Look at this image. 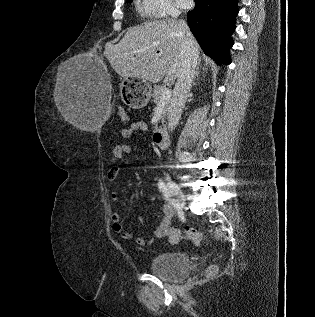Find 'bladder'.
Here are the masks:
<instances>
[{
    "instance_id": "1",
    "label": "bladder",
    "mask_w": 315,
    "mask_h": 317,
    "mask_svg": "<svg viewBox=\"0 0 315 317\" xmlns=\"http://www.w3.org/2000/svg\"><path fill=\"white\" fill-rule=\"evenodd\" d=\"M149 269L152 273L171 281L185 278L191 270L186 254L167 252L158 254L150 260Z\"/></svg>"
}]
</instances>
